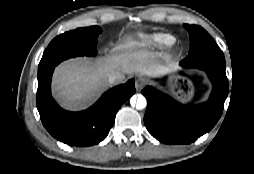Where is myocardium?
<instances>
[{
	"instance_id": "myocardium-1",
	"label": "myocardium",
	"mask_w": 254,
	"mask_h": 174,
	"mask_svg": "<svg viewBox=\"0 0 254 174\" xmlns=\"http://www.w3.org/2000/svg\"><path fill=\"white\" fill-rule=\"evenodd\" d=\"M175 56V53L174 52H171L167 57H168V59H170V58H172V57H174Z\"/></svg>"
}]
</instances>
